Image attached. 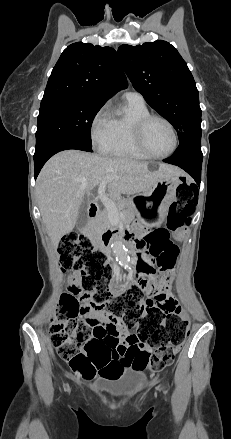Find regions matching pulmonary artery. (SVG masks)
I'll return each mask as SVG.
<instances>
[{"instance_id": "pulmonary-artery-1", "label": "pulmonary artery", "mask_w": 231, "mask_h": 439, "mask_svg": "<svg viewBox=\"0 0 231 439\" xmlns=\"http://www.w3.org/2000/svg\"><path fill=\"white\" fill-rule=\"evenodd\" d=\"M126 99L144 102L143 96L137 91H129L125 94Z\"/></svg>"}]
</instances>
